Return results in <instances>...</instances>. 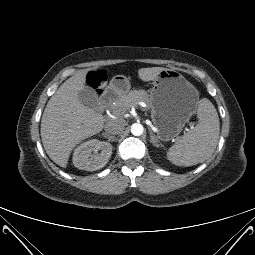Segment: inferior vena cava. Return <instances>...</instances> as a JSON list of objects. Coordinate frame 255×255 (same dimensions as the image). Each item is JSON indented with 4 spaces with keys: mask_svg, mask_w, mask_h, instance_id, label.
Masks as SVG:
<instances>
[{
    "mask_svg": "<svg viewBox=\"0 0 255 255\" xmlns=\"http://www.w3.org/2000/svg\"><path fill=\"white\" fill-rule=\"evenodd\" d=\"M105 131L110 135L120 134L125 128V121L123 119L110 120L105 125ZM113 137V136H110Z\"/></svg>",
    "mask_w": 255,
    "mask_h": 255,
    "instance_id": "inferior-vena-cava-1",
    "label": "inferior vena cava"
}]
</instances>
